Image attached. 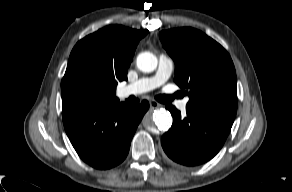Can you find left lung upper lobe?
<instances>
[{
  "label": "left lung upper lobe",
  "mask_w": 292,
  "mask_h": 192,
  "mask_svg": "<svg viewBox=\"0 0 292 192\" xmlns=\"http://www.w3.org/2000/svg\"><path fill=\"white\" fill-rule=\"evenodd\" d=\"M159 36L175 62L176 84L187 90L186 110L234 119L237 81L228 52L190 27L161 31Z\"/></svg>",
  "instance_id": "1"
}]
</instances>
